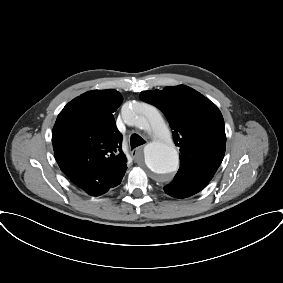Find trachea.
<instances>
[{"label": "trachea", "mask_w": 283, "mask_h": 283, "mask_svg": "<svg viewBox=\"0 0 283 283\" xmlns=\"http://www.w3.org/2000/svg\"><path fill=\"white\" fill-rule=\"evenodd\" d=\"M145 143V140L138 134H132L130 138L131 149H134Z\"/></svg>", "instance_id": "trachea-1"}]
</instances>
